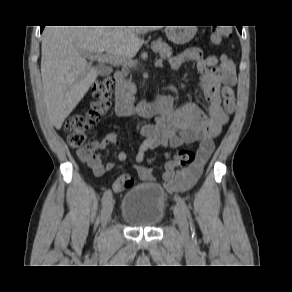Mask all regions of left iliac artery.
I'll list each match as a JSON object with an SVG mask.
<instances>
[{
	"mask_svg": "<svg viewBox=\"0 0 292 292\" xmlns=\"http://www.w3.org/2000/svg\"><path fill=\"white\" fill-rule=\"evenodd\" d=\"M176 203L177 205L185 212V214L187 215L189 222H190V227H191V231H192V238L195 239V229H194V224H193V220L190 214V211L186 205V203L184 202V200L181 197H175Z\"/></svg>",
	"mask_w": 292,
	"mask_h": 292,
	"instance_id": "obj_1",
	"label": "left iliac artery"
}]
</instances>
